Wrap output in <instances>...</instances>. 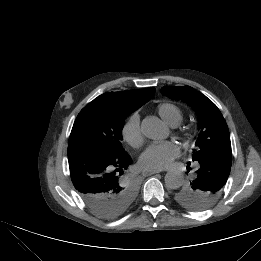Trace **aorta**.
I'll return each mask as SVG.
<instances>
[{
    "mask_svg": "<svg viewBox=\"0 0 261 261\" xmlns=\"http://www.w3.org/2000/svg\"><path fill=\"white\" fill-rule=\"evenodd\" d=\"M142 133L149 139L158 140L166 135L165 125L155 117H147L141 124ZM183 183V176L180 171L171 170L165 175V184L170 189H177Z\"/></svg>",
    "mask_w": 261,
    "mask_h": 261,
    "instance_id": "1",
    "label": "aorta"
}]
</instances>
